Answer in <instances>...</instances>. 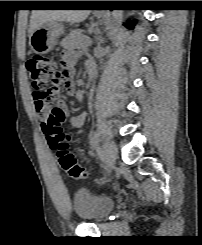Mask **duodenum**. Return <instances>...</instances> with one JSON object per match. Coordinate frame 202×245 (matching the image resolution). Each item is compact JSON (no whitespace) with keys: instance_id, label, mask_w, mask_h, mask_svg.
Listing matches in <instances>:
<instances>
[{"instance_id":"duodenum-1","label":"duodenum","mask_w":202,"mask_h":245,"mask_svg":"<svg viewBox=\"0 0 202 245\" xmlns=\"http://www.w3.org/2000/svg\"><path fill=\"white\" fill-rule=\"evenodd\" d=\"M86 70H87V83L89 84L94 80L96 72L94 66L91 64L87 66Z\"/></svg>"}]
</instances>
